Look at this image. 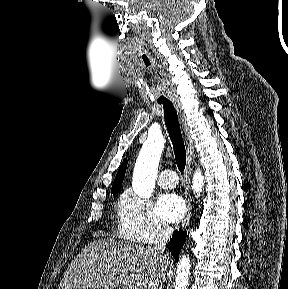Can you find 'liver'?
Wrapping results in <instances>:
<instances>
[{"label":"liver","mask_w":288,"mask_h":289,"mask_svg":"<svg viewBox=\"0 0 288 289\" xmlns=\"http://www.w3.org/2000/svg\"><path fill=\"white\" fill-rule=\"evenodd\" d=\"M168 265L152 247L100 239L74 258L58 289H162Z\"/></svg>","instance_id":"1"}]
</instances>
